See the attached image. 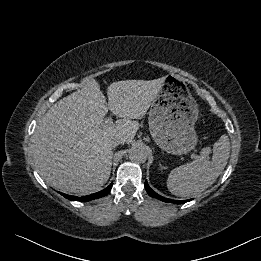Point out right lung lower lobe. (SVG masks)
Returning <instances> with one entry per match:
<instances>
[{
  "instance_id": "obj_1",
  "label": "right lung lower lobe",
  "mask_w": 261,
  "mask_h": 261,
  "mask_svg": "<svg viewBox=\"0 0 261 261\" xmlns=\"http://www.w3.org/2000/svg\"><path fill=\"white\" fill-rule=\"evenodd\" d=\"M112 183L107 187L105 188L104 190L100 191V192H97V193H94V194H91V195H87V196H83L81 198H78L77 196H71V195H66L64 193H60L61 195H63L65 198H68L69 200H72V201H75V200H79V201H84V202H87L89 200H93V199H97V198H101V197H104L106 196L109 191L111 190L112 188Z\"/></svg>"
}]
</instances>
